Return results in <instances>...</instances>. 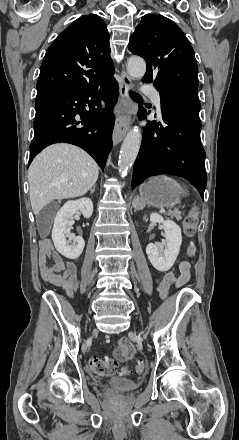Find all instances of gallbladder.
Listing matches in <instances>:
<instances>
[{
	"mask_svg": "<svg viewBox=\"0 0 239 440\" xmlns=\"http://www.w3.org/2000/svg\"><path fill=\"white\" fill-rule=\"evenodd\" d=\"M45 216H46V210H42V212H40V214H38V216H37L38 230H39V228H41L42 222H44L46 228H48V222H47Z\"/></svg>",
	"mask_w": 239,
	"mask_h": 440,
	"instance_id": "obj_1",
	"label": "gallbladder"
}]
</instances>
